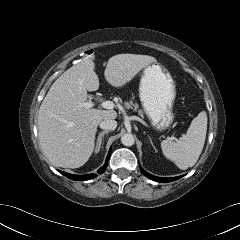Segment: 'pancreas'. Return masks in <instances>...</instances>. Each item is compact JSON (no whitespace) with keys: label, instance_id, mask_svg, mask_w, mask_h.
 <instances>
[{"label":"pancreas","instance_id":"cf45deb5","mask_svg":"<svg viewBox=\"0 0 240 240\" xmlns=\"http://www.w3.org/2000/svg\"><path fill=\"white\" fill-rule=\"evenodd\" d=\"M125 108L127 109H132L134 111H137L138 114L143 117V111L141 109H139V105L137 103H134L132 99H130L129 101H126L124 103Z\"/></svg>","mask_w":240,"mask_h":240}]
</instances>
